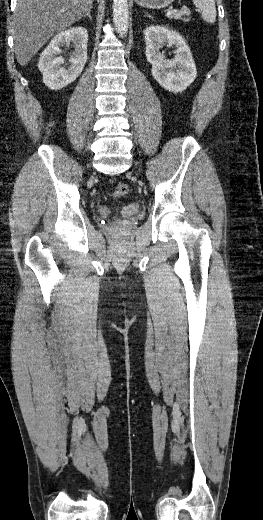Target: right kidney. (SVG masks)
Returning <instances> with one entry per match:
<instances>
[{"label": "right kidney", "instance_id": "right-kidney-1", "mask_svg": "<svg viewBox=\"0 0 263 520\" xmlns=\"http://www.w3.org/2000/svg\"><path fill=\"white\" fill-rule=\"evenodd\" d=\"M88 32L84 27H74L57 34L42 52L38 68L43 74V82L51 90H60L76 80L87 61ZM73 46L68 67L65 59L58 56L61 47ZM67 65V64H66Z\"/></svg>", "mask_w": 263, "mask_h": 520}]
</instances>
